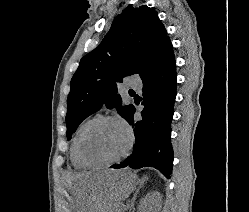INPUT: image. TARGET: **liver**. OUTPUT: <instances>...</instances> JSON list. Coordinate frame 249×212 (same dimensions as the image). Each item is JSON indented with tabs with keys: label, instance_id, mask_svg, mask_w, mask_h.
Returning a JSON list of instances; mask_svg holds the SVG:
<instances>
[{
	"label": "liver",
	"instance_id": "1",
	"mask_svg": "<svg viewBox=\"0 0 249 212\" xmlns=\"http://www.w3.org/2000/svg\"><path fill=\"white\" fill-rule=\"evenodd\" d=\"M84 180L89 184L96 200L92 204V210L101 212L106 204H121L130 194L136 190L137 176L130 170H105V172H76L68 174L67 182L73 186V182Z\"/></svg>",
	"mask_w": 249,
	"mask_h": 212
}]
</instances>
